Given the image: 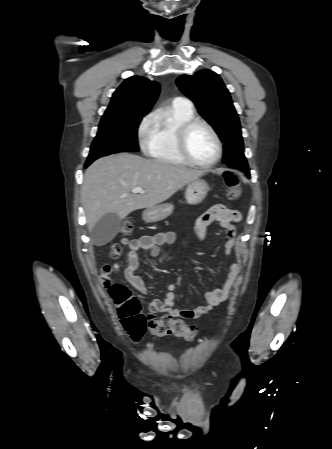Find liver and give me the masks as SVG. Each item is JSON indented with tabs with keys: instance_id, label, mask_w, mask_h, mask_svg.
I'll use <instances>...</instances> for the list:
<instances>
[{
	"instance_id": "obj_1",
	"label": "liver",
	"mask_w": 332,
	"mask_h": 449,
	"mask_svg": "<svg viewBox=\"0 0 332 449\" xmlns=\"http://www.w3.org/2000/svg\"><path fill=\"white\" fill-rule=\"evenodd\" d=\"M203 174L129 153L100 158L87 168L81 189L88 228L91 231L108 213L124 219L135 210L156 206ZM135 187L145 193H133Z\"/></svg>"
}]
</instances>
